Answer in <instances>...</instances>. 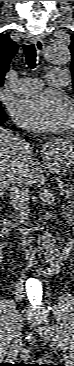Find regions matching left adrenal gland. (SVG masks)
<instances>
[{"instance_id":"a2214340","label":"left adrenal gland","mask_w":74,"mask_h":366,"mask_svg":"<svg viewBox=\"0 0 74 366\" xmlns=\"http://www.w3.org/2000/svg\"><path fill=\"white\" fill-rule=\"evenodd\" d=\"M62 207L64 208V210H66V209H67V207H68V206H67V203H64V204L62 205ZM64 210H63V211H64Z\"/></svg>"}]
</instances>
